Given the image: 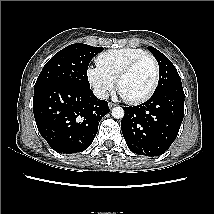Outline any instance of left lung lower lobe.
I'll list each match as a JSON object with an SVG mask.
<instances>
[{
  "mask_svg": "<svg viewBox=\"0 0 214 214\" xmlns=\"http://www.w3.org/2000/svg\"><path fill=\"white\" fill-rule=\"evenodd\" d=\"M121 129L128 148L138 155L158 156L177 137L184 117L182 85L153 93L141 105L124 107Z\"/></svg>",
  "mask_w": 214,
  "mask_h": 214,
  "instance_id": "obj_1",
  "label": "left lung lower lobe"
}]
</instances>
